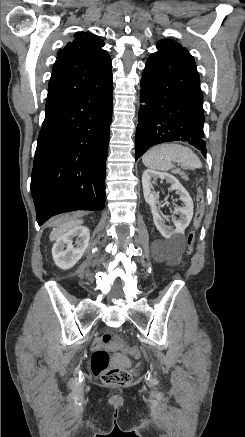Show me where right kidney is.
Masks as SVG:
<instances>
[{
  "label": "right kidney",
  "mask_w": 245,
  "mask_h": 437,
  "mask_svg": "<svg viewBox=\"0 0 245 437\" xmlns=\"http://www.w3.org/2000/svg\"><path fill=\"white\" fill-rule=\"evenodd\" d=\"M75 243L73 244V240ZM90 239L89 229L78 226L56 240L52 248L55 264L61 269L72 268L83 256Z\"/></svg>",
  "instance_id": "obj_1"
}]
</instances>
